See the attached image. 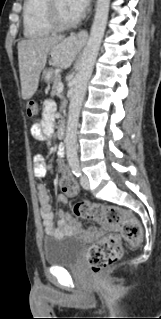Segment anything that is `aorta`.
<instances>
[{
	"label": "aorta",
	"instance_id": "aorta-1",
	"mask_svg": "<svg viewBox=\"0 0 161 319\" xmlns=\"http://www.w3.org/2000/svg\"><path fill=\"white\" fill-rule=\"evenodd\" d=\"M110 0H97L94 21L91 27L90 37L83 50L78 71L73 79V94L69 105V115L66 129V155L70 166L78 164L77 156V127L85 95L87 83L91 77L100 45L104 36Z\"/></svg>",
	"mask_w": 161,
	"mask_h": 319
}]
</instances>
